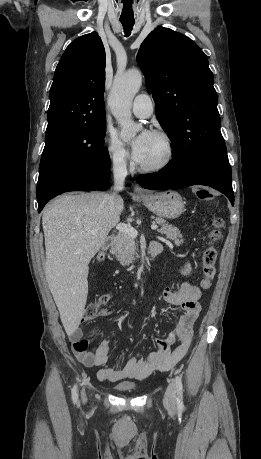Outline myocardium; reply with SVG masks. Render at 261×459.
Listing matches in <instances>:
<instances>
[{
    "label": "myocardium",
    "mask_w": 261,
    "mask_h": 459,
    "mask_svg": "<svg viewBox=\"0 0 261 459\" xmlns=\"http://www.w3.org/2000/svg\"><path fill=\"white\" fill-rule=\"evenodd\" d=\"M152 135L157 136L164 142L166 152H165L163 159L155 164H152V165H141L140 164L139 165L140 171L145 172V173H155V172H159L165 169L172 162L174 158V152H175L174 143L170 135L160 130L153 131Z\"/></svg>",
    "instance_id": "obj_1"
}]
</instances>
